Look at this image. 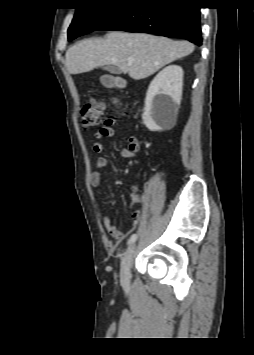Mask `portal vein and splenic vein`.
<instances>
[{"label":"portal vein and splenic vein","mask_w":254,"mask_h":355,"mask_svg":"<svg viewBox=\"0 0 254 355\" xmlns=\"http://www.w3.org/2000/svg\"><path fill=\"white\" fill-rule=\"evenodd\" d=\"M132 61H133V60H132L131 58L128 59V63H129V64H131Z\"/></svg>","instance_id":"obj_1"}]
</instances>
